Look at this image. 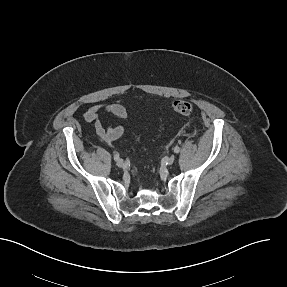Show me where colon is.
I'll use <instances>...</instances> for the list:
<instances>
[{
    "instance_id": "obj_1",
    "label": "colon",
    "mask_w": 287,
    "mask_h": 287,
    "mask_svg": "<svg viewBox=\"0 0 287 287\" xmlns=\"http://www.w3.org/2000/svg\"><path fill=\"white\" fill-rule=\"evenodd\" d=\"M172 109L177 114L187 116L193 112L194 105L190 101L176 100L172 104Z\"/></svg>"
}]
</instances>
